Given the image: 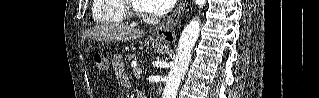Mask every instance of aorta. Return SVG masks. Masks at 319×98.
I'll return each mask as SVG.
<instances>
[{"instance_id": "1", "label": "aorta", "mask_w": 319, "mask_h": 98, "mask_svg": "<svg viewBox=\"0 0 319 98\" xmlns=\"http://www.w3.org/2000/svg\"><path fill=\"white\" fill-rule=\"evenodd\" d=\"M195 4L202 8L206 0H194ZM200 32V20H192L182 31L179 39L176 58L171 66L166 79L162 98H176L178 87L183 79L189 63L191 52Z\"/></svg>"}]
</instances>
